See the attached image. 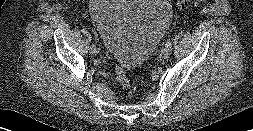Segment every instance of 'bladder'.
<instances>
[{
  "instance_id": "bladder-1",
  "label": "bladder",
  "mask_w": 253,
  "mask_h": 131,
  "mask_svg": "<svg viewBox=\"0 0 253 131\" xmlns=\"http://www.w3.org/2000/svg\"><path fill=\"white\" fill-rule=\"evenodd\" d=\"M170 0H91V20L108 56L135 70L150 56L171 18Z\"/></svg>"
}]
</instances>
